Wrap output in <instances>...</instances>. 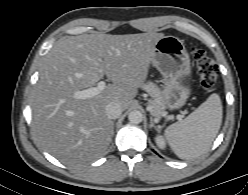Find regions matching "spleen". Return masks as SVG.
I'll return each mask as SVG.
<instances>
[{
    "label": "spleen",
    "mask_w": 248,
    "mask_h": 195,
    "mask_svg": "<svg viewBox=\"0 0 248 195\" xmlns=\"http://www.w3.org/2000/svg\"><path fill=\"white\" fill-rule=\"evenodd\" d=\"M222 103L213 93L194 112L165 130V138L181 159H193L211 147L222 123Z\"/></svg>",
    "instance_id": "obj_1"
}]
</instances>
